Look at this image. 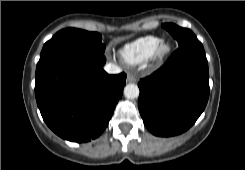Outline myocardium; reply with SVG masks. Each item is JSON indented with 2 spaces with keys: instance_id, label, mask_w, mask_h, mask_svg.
Returning <instances> with one entry per match:
<instances>
[{
  "instance_id": "obj_1",
  "label": "myocardium",
  "mask_w": 245,
  "mask_h": 170,
  "mask_svg": "<svg viewBox=\"0 0 245 170\" xmlns=\"http://www.w3.org/2000/svg\"><path fill=\"white\" fill-rule=\"evenodd\" d=\"M171 52V45L168 41L161 40L156 46L151 59L154 62H161L164 60Z\"/></svg>"
}]
</instances>
